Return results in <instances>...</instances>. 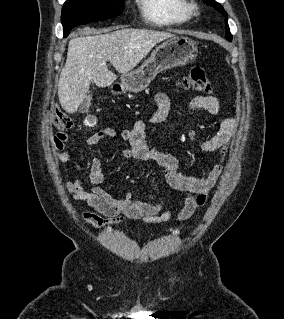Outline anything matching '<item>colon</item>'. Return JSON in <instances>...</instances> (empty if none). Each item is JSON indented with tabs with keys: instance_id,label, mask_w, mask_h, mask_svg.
<instances>
[{
	"instance_id": "colon-1",
	"label": "colon",
	"mask_w": 284,
	"mask_h": 319,
	"mask_svg": "<svg viewBox=\"0 0 284 319\" xmlns=\"http://www.w3.org/2000/svg\"><path fill=\"white\" fill-rule=\"evenodd\" d=\"M181 86L206 94L213 92V87L207 78L205 69L200 65H194L190 68L186 76L182 79ZM73 123L74 120L70 115L60 111L54 113L53 124L58 130L65 131L71 128Z\"/></svg>"
}]
</instances>
